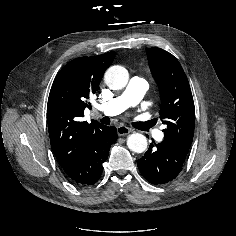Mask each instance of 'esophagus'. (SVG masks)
Returning a JSON list of instances; mask_svg holds the SVG:
<instances>
[{
  "mask_svg": "<svg viewBox=\"0 0 236 236\" xmlns=\"http://www.w3.org/2000/svg\"><path fill=\"white\" fill-rule=\"evenodd\" d=\"M131 132V129L126 126H118L117 127V133L119 136L127 135Z\"/></svg>",
  "mask_w": 236,
  "mask_h": 236,
  "instance_id": "esophagus-1",
  "label": "esophagus"
}]
</instances>
